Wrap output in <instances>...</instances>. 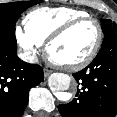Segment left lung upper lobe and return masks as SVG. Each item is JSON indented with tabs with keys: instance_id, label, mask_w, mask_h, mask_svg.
<instances>
[{
	"instance_id": "obj_1",
	"label": "left lung upper lobe",
	"mask_w": 117,
	"mask_h": 117,
	"mask_svg": "<svg viewBox=\"0 0 117 117\" xmlns=\"http://www.w3.org/2000/svg\"><path fill=\"white\" fill-rule=\"evenodd\" d=\"M101 24H102L103 33L105 34L103 43H105L106 41L111 39L114 35H117V24L109 19H102Z\"/></svg>"
}]
</instances>
